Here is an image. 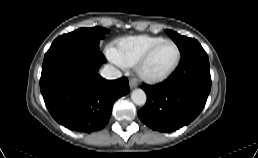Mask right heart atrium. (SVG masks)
<instances>
[{
	"label": "right heart atrium",
	"mask_w": 258,
	"mask_h": 158,
	"mask_svg": "<svg viewBox=\"0 0 258 158\" xmlns=\"http://www.w3.org/2000/svg\"><path fill=\"white\" fill-rule=\"evenodd\" d=\"M108 56L109 58L117 65L121 66V67H125L117 58L115 55V51L113 49H109L108 50Z\"/></svg>",
	"instance_id": "d8ad5b80"
}]
</instances>
